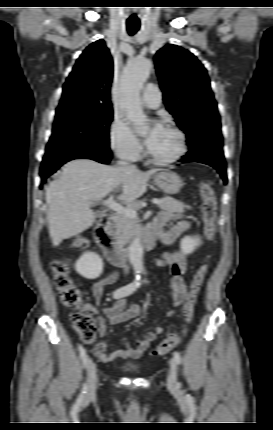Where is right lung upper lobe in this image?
<instances>
[{"label": "right lung upper lobe", "instance_id": "right-lung-upper-lobe-1", "mask_svg": "<svg viewBox=\"0 0 273 430\" xmlns=\"http://www.w3.org/2000/svg\"><path fill=\"white\" fill-rule=\"evenodd\" d=\"M113 61L104 41L90 44L77 59L64 86L57 109L84 107L111 109Z\"/></svg>", "mask_w": 273, "mask_h": 430}]
</instances>
